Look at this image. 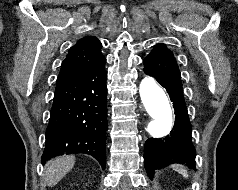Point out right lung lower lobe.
I'll use <instances>...</instances> for the list:
<instances>
[{
	"label": "right lung lower lobe",
	"instance_id": "obj_1",
	"mask_svg": "<svg viewBox=\"0 0 238 190\" xmlns=\"http://www.w3.org/2000/svg\"><path fill=\"white\" fill-rule=\"evenodd\" d=\"M106 59L90 71L57 85L46 129L42 163L52 157L86 153L106 164Z\"/></svg>",
	"mask_w": 238,
	"mask_h": 190
}]
</instances>
